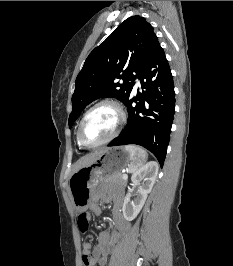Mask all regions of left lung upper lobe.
Listing matches in <instances>:
<instances>
[{
    "label": "left lung upper lobe",
    "instance_id": "left-lung-upper-lobe-1",
    "mask_svg": "<svg viewBox=\"0 0 233 266\" xmlns=\"http://www.w3.org/2000/svg\"><path fill=\"white\" fill-rule=\"evenodd\" d=\"M157 45V36L145 18L132 16L119 25L89 54L76 78L69 127L98 98L114 97L125 104L135 78Z\"/></svg>",
    "mask_w": 233,
    "mask_h": 266
}]
</instances>
